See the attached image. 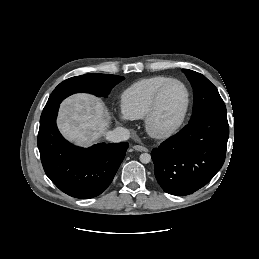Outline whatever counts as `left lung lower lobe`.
Here are the masks:
<instances>
[{"label":"left lung lower lobe","mask_w":259,"mask_h":259,"mask_svg":"<svg viewBox=\"0 0 259 259\" xmlns=\"http://www.w3.org/2000/svg\"><path fill=\"white\" fill-rule=\"evenodd\" d=\"M229 126L226 113H210L190 120L151 157L162 189L188 195L206 185L220 170L226 155Z\"/></svg>","instance_id":"1"}]
</instances>
